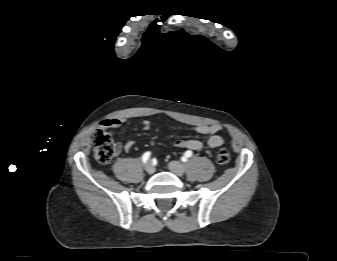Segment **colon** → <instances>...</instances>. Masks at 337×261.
Segmentation results:
<instances>
[{"instance_id": "obj_1", "label": "colon", "mask_w": 337, "mask_h": 261, "mask_svg": "<svg viewBox=\"0 0 337 261\" xmlns=\"http://www.w3.org/2000/svg\"><path fill=\"white\" fill-rule=\"evenodd\" d=\"M117 151L116 144L110 134L99 130L94 137V158L101 164L109 163ZM230 153L227 149L222 148L217 152L216 161L219 165H226L230 161Z\"/></svg>"}]
</instances>
